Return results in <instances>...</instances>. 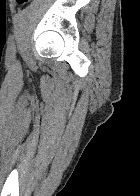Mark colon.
<instances>
[{
  "label": "colon",
  "instance_id": "colon-1",
  "mask_svg": "<svg viewBox=\"0 0 140 196\" xmlns=\"http://www.w3.org/2000/svg\"><path fill=\"white\" fill-rule=\"evenodd\" d=\"M26 0H18V2H20V3H23V2H25Z\"/></svg>",
  "mask_w": 140,
  "mask_h": 196
}]
</instances>
